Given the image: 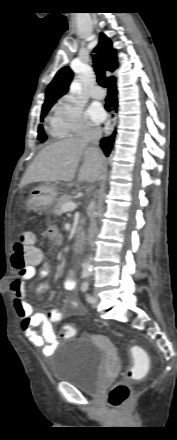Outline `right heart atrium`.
Listing matches in <instances>:
<instances>
[{
  "label": "right heart atrium",
  "mask_w": 177,
  "mask_h": 440,
  "mask_svg": "<svg viewBox=\"0 0 177 440\" xmlns=\"http://www.w3.org/2000/svg\"><path fill=\"white\" fill-rule=\"evenodd\" d=\"M52 122L59 136H76L92 130L80 101L70 95L58 99L52 108Z\"/></svg>",
  "instance_id": "right-heart-atrium-1"
}]
</instances>
